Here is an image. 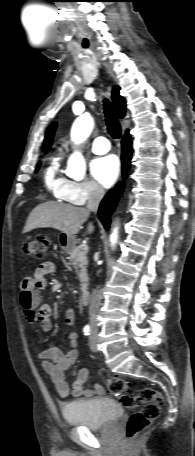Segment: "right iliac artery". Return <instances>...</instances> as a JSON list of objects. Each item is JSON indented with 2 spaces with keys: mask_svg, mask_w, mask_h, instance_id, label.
Segmentation results:
<instances>
[{
  "mask_svg": "<svg viewBox=\"0 0 195 456\" xmlns=\"http://www.w3.org/2000/svg\"><path fill=\"white\" fill-rule=\"evenodd\" d=\"M90 332H91V327H90V325H86V326L84 327V329H83L84 335L87 336V335L90 334Z\"/></svg>",
  "mask_w": 195,
  "mask_h": 456,
  "instance_id": "obj_1",
  "label": "right iliac artery"
}]
</instances>
